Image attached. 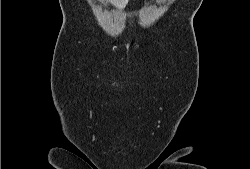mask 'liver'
<instances>
[{
	"instance_id": "6515ba94",
	"label": "liver",
	"mask_w": 250,
	"mask_h": 169,
	"mask_svg": "<svg viewBox=\"0 0 250 169\" xmlns=\"http://www.w3.org/2000/svg\"><path fill=\"white\" fill-rule=\"evenodd\" d=\"M111 4H115V6H120V8H122V6H125L127 0H110Z\"/></svg>"
}]
</instances>
